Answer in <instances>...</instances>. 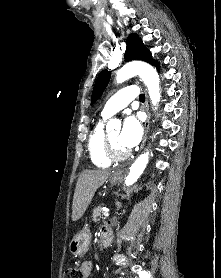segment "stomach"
Listing matches in <instances>:
<instances>
[{"mask_svg": "<svg viewBox=\"0 0 221 278\" xmlns=\"http://www.w3.org/2000/svg\"><path fill=\"white\" fill-rule=\"evenodd\" d=\"M112 185H116L121 181V176L112 174L108 180ZM91 234L88 230H82L78 232L69 244V251L75 256L84 255L90 245Z\"/></svg>", "mask_w": 221, "mask_h": 278, "instance_id": "obj_1", "label": "stomach"}]
</instances>
